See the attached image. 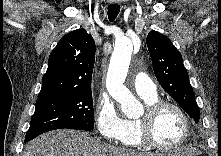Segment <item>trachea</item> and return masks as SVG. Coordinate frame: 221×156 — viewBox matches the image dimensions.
<instances>
[{"label":"trachea","instance_id":"1","mask_svg":"<svg viewBox=\"0 0 221 156\" xmlns=\"http://www.w3.org/2000/svg\"><path fill=\"white\" fill-rule=\"evenodd\" d=\"M120 12V6L119 5H109L108 6V19L110 21H114L117 17V15Z\"/></svg>","mask_w":221,"mask_h":156}]
</instances>
